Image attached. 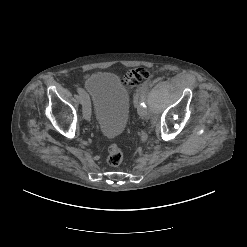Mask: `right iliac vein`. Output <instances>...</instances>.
Here are the masks:
<instances>
[{"label":"right iliac vein","mask_w":247,"mask_h":247,"mask_svg":"<svg viewBox=\"0 0 247 247\" xmlns=\"http://www.w3.org/2000/svg\"><path fill=\"white\" fill-rule=\"evenodd\" d=\"M82 104L83 107V116L86 120H90L91 117V105H90V101L89 98L87 96V98L83 101H79Z\"/></svg>","instance_id":"1"}]
</instances>
